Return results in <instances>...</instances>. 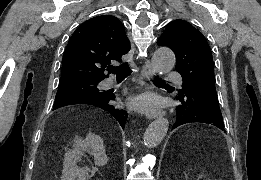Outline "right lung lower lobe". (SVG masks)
Listing matches in <instances>:
<instances>
[{
  "instance_id": "right-lung-lower-lobe-1",
  "label": "right lung lower lobe",
  "mask_w": 261,
  "mask_h": 180,
  "mask_svg": "<svg viewBox=\"0 0 261 180\" xmlns=\"http://www.w3.org/2000/svg\"><path fill=\"white\" fill-rule=\"evenodd\" d=\"M115 99V95L109 91L102 92L100 95L95 97H87V96H74L65 101L61 102L59 105L54 106V109H57L62 106H66L68 104H91L99 106L100 108L108 111L114 118L119 122L122 128L125 127V123L128 117V114L123 111L116 109L112 104L111 101Z\"/></svg>"
}]
</instances>
